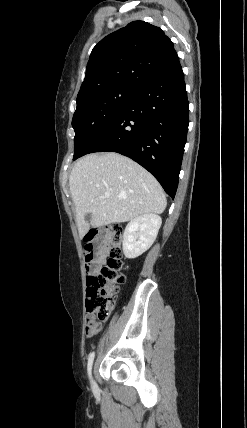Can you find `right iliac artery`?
<instances>
[{"mask_svg":"<svg viewBox=\"0 0 247 428\" xmlns=\"http://www.w3.org/2000/svg\"><path fill=\"white\" fill-rule=\"evenodd\" d=\"M94 355H95V353L92 352L89 354V358H88L87 370H88L89 376H91V369H92V364H93V360H94Z\"/></svg>","mask_w":247,"mask_h":428,"instance_id":"1","label":"right iliac artery"}]
</instances>
